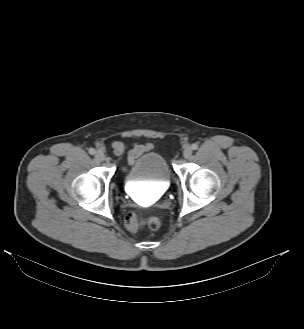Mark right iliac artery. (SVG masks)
Here are the masks:
<instances>
[{
    "label": "right iliac artery",
    "mask_w": 304,
    "mask_h": 329,
    "mask_svg": "<svg viewBox=\"0 0 304 329\" xmlns=\"http://www.w3.org/2000/svg\"><path fill=\"white\" fill-rule=\"evenodd\" d=\"M89 153H90L91 155L95 154V149L90 148V149H89Z\"/></svg>",
    "instance_id": "right-iliac-artery-1"
}]
</instances>
